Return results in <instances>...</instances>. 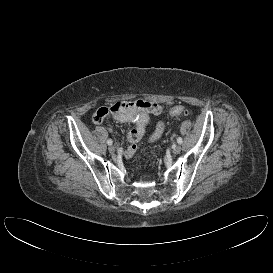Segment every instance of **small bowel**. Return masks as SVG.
Here are the masks:
<instances>
[{
	"mask_svg": "<svg viewBox=\"0 0 273 273\" xmlns=\"http://www.w3.org/2000/svg\"><path fill=\"white\" fill-rule=\"evenodd\" d=\"M161 111L162 108L159 104L146 100L120 101L109 107L99 108L93 115L92 120L95 124H100L103 120L112 118L119 122L132 124L127 135L129 146L124 153L126 158H131L137 149V142L145 135L151 117L159 115ZM164 129V122L159 121L149 140L152 142L159 139Z\"/></svg>",
	"mask_w": 273,
	"mask_h": 273,
	"instance_id": "1",
	"label": "small bowel"
}]
</instances>
